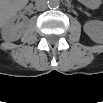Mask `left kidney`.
Segmentation results:
<instances>
[{
    "instance_id": "obj_1",
    "label": "left kidney",
    "mask_w": 103,
    "mask_h": 103,
    "mask_svg": "<svg viewBox=\"0 0 103 103\" xmlns=\"http://www.w3.org/2000/svg\"><path fill=\"white\" fill-rule=\"evenodd\" d=\"M83 30L95 43L103 41V23L101 21H88L84 24Z\"/></svg>"
}]
</instances>
